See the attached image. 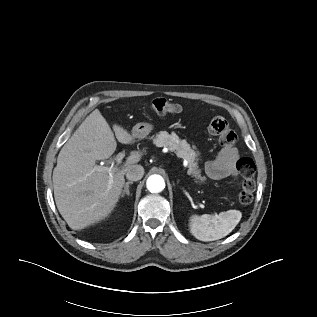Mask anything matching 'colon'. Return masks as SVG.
<instances>
[{
    "label": "colon",
    "mask_w": 317,
    "mask_h": 317,
    "mask_svg": "<svg viewBox=\"0 0 317 317\" xmlns=\"http://www.w3.org/2000/svg\"><path fill=\"white\" fill-rule=\"evenodd\" d=\"M151 110L158 115L176 114L181 111V106L165 98H157L152 101ZM208 129L210 133L217 136L220 144L224 147H233L237 142L236 133L229 127L227 120L222 116L213 117ZM236 169L242 177V188L239 192L238 200L241 204L246 205L252 202L256 189V167L251 158L242 157L237 160Z\"/></svg>",
    "instance_id": "1"
}]
</instances>
